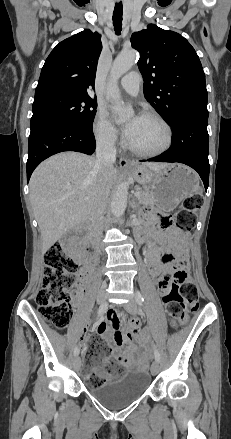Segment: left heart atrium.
Returning <instances> with one entry per match:
<instances>
[{
  "label": "left heart atrium",
  "instance_id": "1",
  "mask_svg": "<svg viewBox=\"0 0 231 439\" xmlns=\"http://www.w3.org/2000/svg\"><path fill=\"white\" fill-rule=\"evenodd\" d=\"M140 119V116H134L125 126L124 128V135L127 141L129 142L132 138L135 128L138 124V121Z\"/></svg>",
  "mask_w": 231,
  "mask_h": 439
}]
</instances>
